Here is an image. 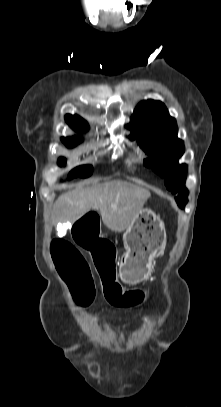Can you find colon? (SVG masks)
I'll return each instance as SVG.
<instances>
[{
  "mask_svg": "<svg viewBox=\"0 0 221 407\" xmlns=\"http://www.w3.org/2000/svg\"><path fill=\"white\" fill-rule=\"evenodd\" d=\"M85 216H77L73 222L72 238L91 251L94 265L102 284L107 306L116 311H131L133 306H145L150 294L141 292L144 286H127L122 291L116 278V262L112 244L104 240L96 210H86ZM52 257L61 277L69 285L73 295L84 306L95 296V285L90 267L78 249L63 240H54L51 245Z\"/></svg>",
  "mask_w": 221,
  "mask_h": 407,
  "instance_id": "5ec220e1",
  "label": "colon"
}]
</instances>
